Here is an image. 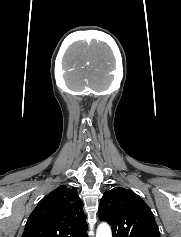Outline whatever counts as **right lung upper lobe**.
<instances>
[{"label": "right lung upper lobe", "mask_w": 181, "mask_h": 237, "mask_svg": "<svg viewBox=\"0 0 181 237\" xmlns=\"http://www.w3.org/2000/svg\"><path fill=\"white\" fill-rule=\"evenodd\" d=\"M85 220L77 190L61 185L38 203L22 237H88Z\"/></svg>", "instance_id": "obj_1"}]
</instances>
